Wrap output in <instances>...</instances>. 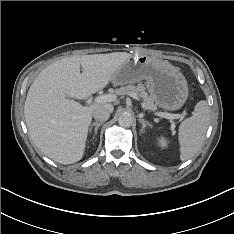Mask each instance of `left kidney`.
Instances as JSON below:
<instances>
[{
  "instance_id": "obj_1",
  "label": "left kidney",
  "mask_w": 234,
  "mask_h": 234,
  "mask_svg": "<svg viewBox=\"0 0 234 234\" xmlns=\"http://www.w3.org/2000/svg\"><path fill=\"white\" fill-rule=\"evenodd\" d=\"M159 144H160L161 147H165V146H166V140L163 139V138L160 139V140H159Z\"/></svg>"
}]
</instances>
